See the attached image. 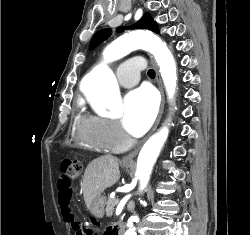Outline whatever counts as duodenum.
I'll use <instances>...</instances> for the list:
<instances>
[{
    "mask_svg": "<svg viewBox=\"0 0 250 235\" xmlns=\"http://www.w3.org/2000/svg\"><path fill=\"white\" fill-rule=\"evenodd\" d=\"M123 225H119L118 227H115L111 232L110 235H122L123 234Z\"/></svg>",
    "mask_w": 250,
    "mask_h": 235,
    "instance_id": "obj_1",
    "label": "duodenum"
}]
</instances>
